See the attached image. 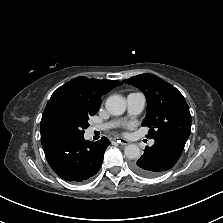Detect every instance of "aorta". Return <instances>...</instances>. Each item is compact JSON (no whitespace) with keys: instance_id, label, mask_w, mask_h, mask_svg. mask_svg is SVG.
Masks as SVG:
<instances>
[{"instance_id":"obj_1","label":"aorta","mask_w":223,"mask_h":223,"mask_svg":"<svg viewBox=\"0 0 223 223\" xmlns=\"http://www.w3.org/2000/svg\"><path fill=\"white\" fill-rule=\"evenodd\" d=\"M106 109L111 115H122L126 110V101L120 95L109 96L106 100ZM128 159L134 160L140 157V148L136 144H129L124 150Z\"/></svg>"}]
</instances>
